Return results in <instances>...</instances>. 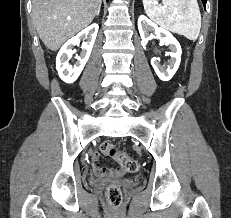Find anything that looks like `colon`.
I'll return each mask as SVG.
<instances>
[{
    "label": "colon",
    "mask_w": 231,
    "mask_h": 218,
    "mask_svg": "<svg viewBox=\"0 0 231 218\" xmlns=\"http://www.w3.org/2000/svg\"><path fill=\"white\" fill-rule=\"evenodd\" d=\"M101 151L117 161L121 167L131 173L137 172L139 170V163L137 160L131 158L129 155L124 153L118 146L113 143H103L101 146ZM106 195L109 203L113 206H118L122 200V193L120 188L115 185L108 186L106 190Z\"/></svg>",
    "instance_id": "1"
}]
</instances>
